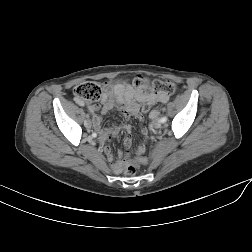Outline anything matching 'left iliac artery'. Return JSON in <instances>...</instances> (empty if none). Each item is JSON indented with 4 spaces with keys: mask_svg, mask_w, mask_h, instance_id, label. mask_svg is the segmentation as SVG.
<instances>
[{
    "mask_svg": "<svg viewBox=\"0 0 252 252\" xmlns=\"http://www.w3.org/2000/svg\"><path fill=\"white\" fill-rule=\"evenodd\" d=\"M167 116H163V117H161L160 119H159V121L161 122V123H165L166 121H167Z\"/></svg>",
    "mask_w": 252,
    "mask_h": 252,
    "instance_id": "obj_1",
    "label": "left iliac artery"
}]
</instances>
